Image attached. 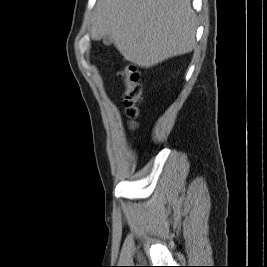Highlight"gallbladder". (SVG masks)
<instances>
[{"label": "gallbladder", "instance_id": "gallbladder-1", "mask_svg": "<svg viewBox=\"0 0 267 267\" xmlns=\"http://www.w3.org/2000/svg\"><path fill=\"white\" fill-rule=\"evenodd\" d=\"M103 43L106 46H110L112 44V39L110 36L106 35L103 37Z\"/></svg>", "mask_w": 267, "mask_h": 267}]
</instances>
